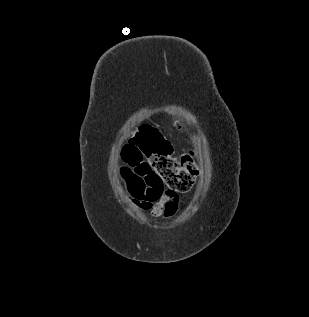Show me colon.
<instances>
[{
    "label": "colon",
    "instance_id": "1",
    "mask_svg": "<svg viewBox=\"0 0 309 317\" xmlns=\"http://www.w3.org/2000/svg\"><path fill=\"white\" fill-rule=\"evenodd\" d=\"M172 151L171 143L158 129L141 125L131 135L123 155L131 164L146 159L162 185L173 192L184 193L192 188L199 171L191 153L175 158Z\"/></svg>",
    "mask_w": 309,
    "mask_h": 317
}]
</instances>
